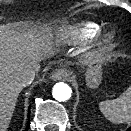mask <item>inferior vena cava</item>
Listing matches in <instances>:
<instances>
[{"label": "inferior vena cava", "mask_w": 131, "mask_h": 131, "mask_svg": "<svg viewBox=\"0 0 131 131\" xmlns=\"http://www.w3.org/2000/svg\"><path fill=\"white\" fill-rule=\"evenodd\" d=\"M36 72L37 71L35 70V68H30L26 71H23L19 76V82L21 86L25 87L31 84L36 76Z\"/></svg>", "instance_id": "602c4592"}]
</instances>
